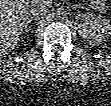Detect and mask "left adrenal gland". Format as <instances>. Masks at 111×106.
Segmentation results:
<instances>
[{"label":"left adrenal gland","instance_id":"1","mask_svg":"<svg viewBox=\"0 0 111 106\" xmlns=\"http://www.w3.org/2000/svg\"><path fill=\"white\" fill-rule=\"evenodd\" d=\"M72 9H76V8H82V9H86V7L82 6V5H77V4H73Z\"/></svg>","mask_w":111,"mask_h":106}]
</instances>
